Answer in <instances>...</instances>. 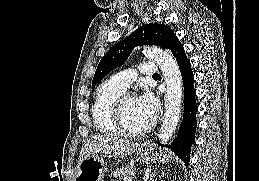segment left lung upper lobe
Instances as JSON below:
<instances>
[{"label":"left lung upper lobe","instance_id":"left-lung-upper-lobe-1","mask_svg":"<svg viewBox=\"0 0 259 181\" xmlns=\"http://www.w3.org/2000/svg\"><path fill=\"white\" fill-rule=\"evenodd\" d=\"M178 41L172 29L164 24L149 23L142 25L126 39L111 47L102 57L94 74L92 89L104 76L126 61L136 46L157 45L170 50Z\"/></svg>","mask_w":259,"mask_h":181}]
</instances>
